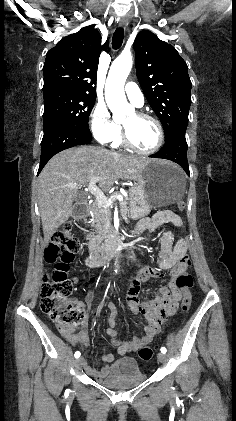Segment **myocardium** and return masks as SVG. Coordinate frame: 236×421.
<instances>
[{"mask_svg":"<svg viewBox=\"0 0 236 421\" xmlns=\"http://www.w3.org/2000/svg\"><path fill=\"white\" fill-rule=\"evenodd\" d=\"M136 115L140 118L146 119L148 121H150L151 123L154 124V126L156 127L157 130V141L156 144L154 145L153 148L149 149V150H142L138 147H136L129 139L127 131L125 129V127L122 125V142L125 145V147L129 148L131 151L141 154V155H153L156 152L159 151V149L162 147L163 141H164V130L163 127L161 125V123L154 118L153 116L137 111Z\"/></svg>","mask_w":236,"mask_h":421,"instance_id":"1","label":"myocardium"}]
</instances>
